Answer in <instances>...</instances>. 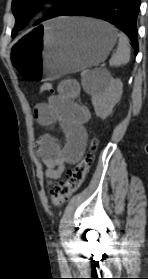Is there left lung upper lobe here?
Listing matches in <instances>:
<instances>
[{"label":"left lung upper lobe","mask_w":148,"mask_h":279,"mask_svg":"<svg viewBox=\"0 0 148 279\" xmlns=\"http://www.w3.org/2000/svg\"><path fill=\"white\" fill-rule=\"evenodd\" d=\"M75 0H13L12 11L16 18L15 27L12 30V36L14 37L19 30H21L30 18L37 12L41 5L46 2H55L59 8L47 13L42 19L38 20L36 24H39L43 20L50 19L58 16L65 11Z\"/></svg>","instance_id":"5c2ea615"}]
</instances>
